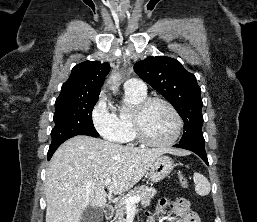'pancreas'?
I'll use <instances>...</instances> for the list:
<instances>
[{"instance_id": "1", "label": "pancreas", "mask_w": 257, "mask_h": 222, "mask_svg": "<svg viewBox=\"0 0 257 222\" xmlns=\"http://www.w3.org/2000/svg\"><path fill=\"white\" fill-rule=\"evenodd\" d=\"M156 190L149 188L147 186L136 187L133 190H130L125 196L119 198L115 204V217L111 222H125L124 215L126 214L127 207L125 200L129 197L139 196L141 199V204L143 206H148L151 202V199L155 196Z\"/></svg>"}]
</instances>
